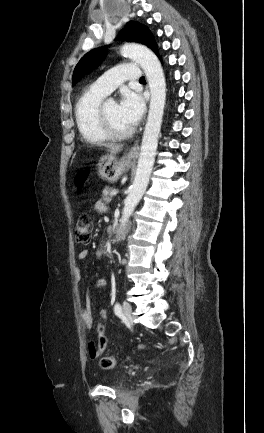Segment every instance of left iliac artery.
I'll use <instances>...</instances> for the list:
<instances>
[{"instance_id": "1", "label": "left iliac artery", "mask_w": 264, "mask_h": 433, "mask_svg": "<svg viewBox=\"0 0 264 433\" xmlns=\"http://www.w3.org/2000/svg\"><path fill=\"white\" fill-rule=\"evenodd\" d=\"M114 312H115V314H116L117 316H122V315H123V313H122V308H121V306H120L119 303H116V304H115V306H114Z\"/></svg>"}]
</instances>
